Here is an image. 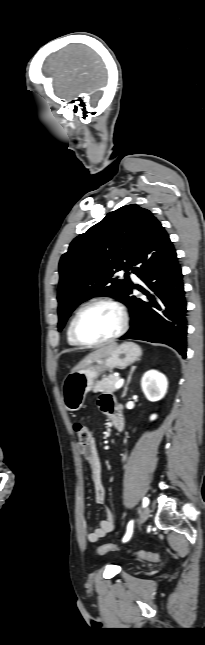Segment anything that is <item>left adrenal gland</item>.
Wrapping results in <instances>:
<instances>
[{
	"instance_id": "obj_1",
	"label": "left adrenal gland",
	"mask_w": 205,
	"mask_h": 645,
	"mask_svg": "<svg viewBox=\"0 0 205 645\" xmlns=\"http://www.w3.org/2000/svg\"><path fill=\"white\" fill-rule=\"evenodd\" d=\"M135 369H136V367H135V366L131 368V371H130L129 376H128L127 383H126V385H125V387H124V391H123L122 397H125V396H126V393H127V391H128V385H129V384H130V382H131V378H132V375H133V373H134Z\"/></svg>"
}]
</instances>
